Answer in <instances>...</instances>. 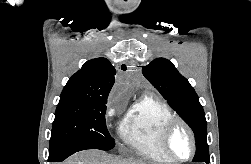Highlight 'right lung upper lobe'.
I'll list each match as a JSON object with an SVG mask.
<instances>
[{"mask_svg": "<svg viewBox=\"0 0 251 164\" xmlns=\"http://www.w3.org/2000/svg\"><path fill=\"white\" fill-rule=\"evenodd\" d=\"M115 74V68L108 59L89 60L69 79L61 96L107 100L115 82Z\"/></svg>", "mask_w": 251, "mask_h": 164, "instance_id": "right-lung-upper-lobe-1", "label": "right lung upper lobe"}]
</instances>
